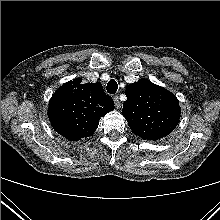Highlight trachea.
Instances as JSON below:
<instances>
[{
  "label": "trachea",
  "mask_w": 220,
  "mask_h": 220,
  "mask_svg": "<svg viewBox=\"0 0 220 220\" xmlns=\"http://www.w3.org/2000/svg\"><path fill=\"white\" fill-rule=\"evenodd\" d=\"M106 89H107V92L109 94H115L117 92V89H118L117 82L114 79H111L108 82Z\"/></svg>",
  "instance_id": "1"
}]
</instances>
